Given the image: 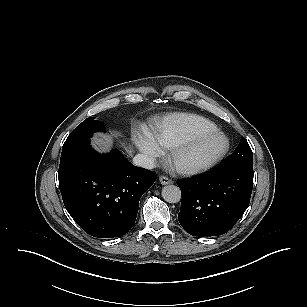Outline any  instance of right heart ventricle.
I'll return each instance as SVG.
<instances>
[{"label": "right heart ventricle", "mask_w": 307, "mask_h": 307, "mask_svg": "<svg viewBox=\"0 0 307 307\" xmlns=\"http://www.w3.org/2000/svg\"><path fill=\"white\" fill-rule=\"evenodd\" d=\"M210 120L191 113H171L153 123L148 136L162 148L170 149L194 135L216 130Z\"/></svg>", "instance_id": "obj_1"}]
</instances>
